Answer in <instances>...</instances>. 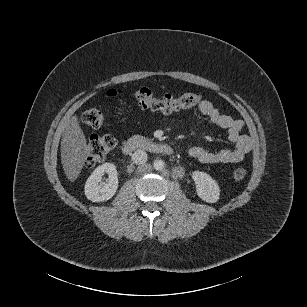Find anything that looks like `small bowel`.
<instances>
[{
  "label": "small bowel",
  "mask_w": 307,
  "mask_h": 307,
  "mask_svg": "<svg viewBox=\"0 0 307 307\" xmlns=\"http://www.w3.org/2000/svg\"><path fill=\"white\" fill-rule=\"evenodd\" d=\"M198 109L210 123L227 131L228 140L233 144V147L223 148L218 151L192 147L189 149L188 155L202 164L220 165L242 161L252 148L250 137L243 133L244 123L222 113L208 100L201 101L198 104Z\"/></svg>",
  "instance_id": "obj_1"
}]
</instances>
